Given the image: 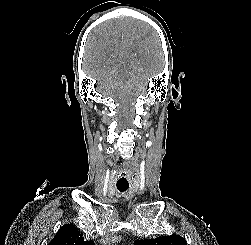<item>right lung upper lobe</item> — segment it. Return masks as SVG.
Returning a JSON list of instances; mask_svg holds the SVG:
<instances>
[{
  "instance_id": "obj_1",
  "label": "right lung upper lobe",
  "mask_w": 251,
  "mask_h": 245,
  "mask_svg": "<svg viewBox=\"0 0 251 245\" xmlns=\"http://www.w3.org/2000/svg\"><path fill=\"white\" fill-rule=\"evenodd\" d=\"M48 245H94V241H86L82 233L73 224H66L59 229Z\"/></svg>"
}]
</instances>
